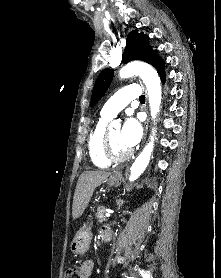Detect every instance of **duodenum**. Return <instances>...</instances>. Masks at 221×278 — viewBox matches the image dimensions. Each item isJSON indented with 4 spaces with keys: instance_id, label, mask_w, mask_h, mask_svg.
Returning a JSON list of instances; mask_svg holds the SVG:
<instances>
[{
    "instance_id": "1",
    "label": "duodenum",
    "mask_w": 221,
    "mask_h": 278,
    "mask_svg": "<svg viewBox=\"0 0 221 278\" xmlns=\"http://www.w3.org/2000/svg\"><path fill=\"white\" fill-rule=\"evenodd\" d=\"M113 233L111 228H105L102 232V241L104 244L110 243L112 240Z\"/></svg>"
}]
</instances>
